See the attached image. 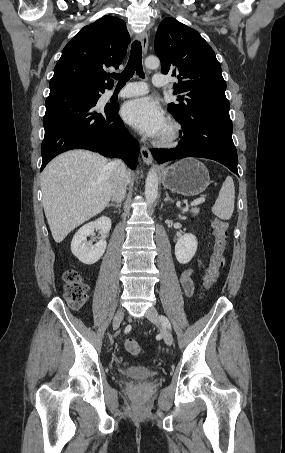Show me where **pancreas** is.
I'll use <instances>...</instances> for the list:
<instances>
[{
  "label": "pancreas",
  "mask_w": 285,
  "mask_h": 453,
  "mask_svg": "<svg viewBox=\"0 0 285 453\" xmlns=\"http://www.w3.org/2000/svg\"><path fill=\"white\" fill-rule=\"evenodd\" d=\"M199 211H200L199 208H192V209L190 210V212H191L194 216H196V215L199 213Z\"/></svg>",
  "instance_id": "pancreas-1"
}]
</instances>
